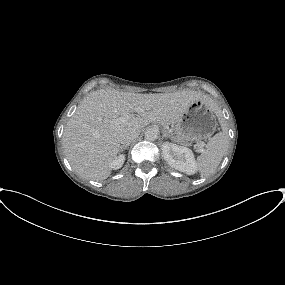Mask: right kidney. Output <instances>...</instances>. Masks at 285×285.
<instances>
[{"label":"right kidney","instance_id":"right-kidney-1","mask_svg":"<svg viewBox=\"0 0 285 285\" xmlns=\"http://www.w3.org/2000/svg\"><path fill=\"white\" fill-rule=\"evenodd\" d=\"M125 161L124 155H119L117 158H115L111 164L112 169H119L122 167L123 163Z\"/></svg>","mask_w":285,"mask_h":285}]
</instances>
